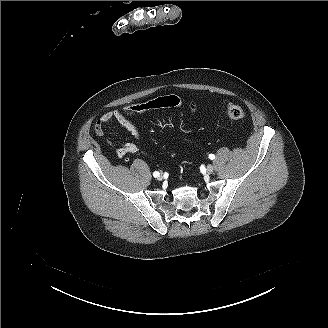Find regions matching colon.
<instances>
[{
	"label": "colon",
	"instance_id": "1",
	"mask_svg": "<svg viewBox=\"0 0 328 328\" xmlns=\"http://www.w3.org/2000/svg\"><path fill=\"white\" fill-rule=\"evenodd\" d=\"M179 104L180 99L176 95L161 96L145 102L132 104L125 109V114L128 116H136L155 109L176 107ZM226 112L228 117L232 120H240L245 116L244 110L235 104H229ZM97 130H99V127H97Z\"/></svg>",
	"mask_w": 328,
	"mask_h": 328
}]
</instances>
